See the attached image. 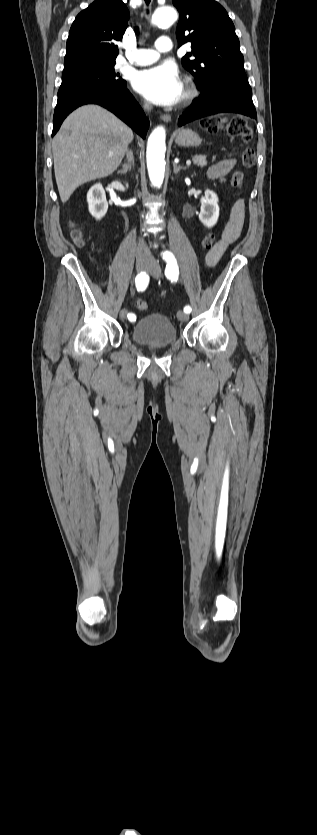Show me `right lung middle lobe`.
I'll return each instance as SVG.
<instances>
[{
    "mask_svg": "<svg viewBox=\"0 0 317 835\" xmlns=\"http://www.w3.org/2000/svg\"><path fill=\"white\" fill-rule=\"evenodd\" d=\"M114 65L115 62L95 59L65 61L58 96L96 85L126 86V81L115 73Z\"/></svg>",
    "mask_w": 317,
    "mask_h": 835,
    "instance_id": "1",
    "label": "right lung middle lobe"
}]
</instances>
